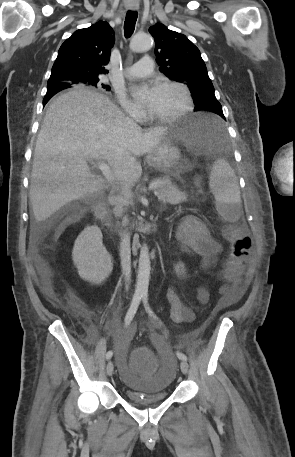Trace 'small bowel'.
I'll return each mask as SVG.
<instances>
[{"label": "small bowel", "mask_w": 295, "mask_h": 457, "mask_svg": "<svg viewBox=\"0 0 295 457\" xmlns=\"http://www.w3.org/2000/svg\"><path fill=\"white\" fill-rule=\"evenodd\" d=\"M176 238L180 242L182 248L188 252H193L201 257L202 267L207 268L212 260L221 252V245L210 234L206 225L198 218L188 215L184 217L178 224L176 229ZM243 293V287L234 283L227 290V298L230 302L236 301ZM167 301L170 304V318L174 323L192 322L195 319L194 312L190 307L185 305L179 296L172 290L166 292ZM197 298L201 302L208 300V293L200 289L197 293ZM119 320V314L114 313L108 322L112 326ZM157 326H151V329H156ZM135 331V327H130L124 333L122 338L131 339ZM154 342H161L160 337L153 333Z\"/></svg>", "instance_id": "1"}]
</instances>
